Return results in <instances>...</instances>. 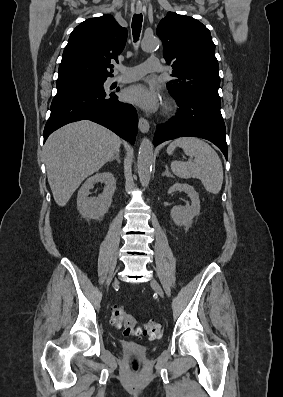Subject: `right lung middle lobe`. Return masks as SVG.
I'll return each mask as SVG.
<instances>
[{
  "label": "right lung middle lobe",
  "mask_w": 283,
  "mask_h": 397,
  "mask_svg": "<svg viewBox=\"0 0 283 397\" xmlns=\"http://www.w3.org/2000/svg\"><path fill=\"white\" fill-rule=\"evenodd\" d=\"M106 79L97 78H75L56 81L57 92L64 91L70 88H98L103 89V83Z\"/></svg>",
  "instance_id": "dd1d6c3e"
}]
</instances>
